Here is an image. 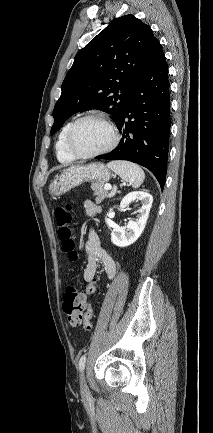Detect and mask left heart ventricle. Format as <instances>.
<instances>
[{
    "instance_id": "obj_1",
    "label": "left heart ventricle",
    "mask_w": 213,
    "mask_h": 433,
    "mask_svg": "<svg viewBox=\"0 0 213 433\" xmlns=\"http://www.w3.org/2000/svg\"><path fill=\"white\" fill-rule=\"evenodd\" d=\"M112 136L108 127L102 122L89 119L76 128L73 143L82 154H90L104 149L111 142Z\"/></svg>"
}]
</instances>
